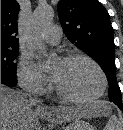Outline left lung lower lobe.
Segmentation results:
<instances>
[{"instance_id":"0a47b994","label":"left lung lower lobe","mask_w":123,"mask_h":130,"mask_svg":"<svg viewBox=\"0 0 123 130\" xmlns=\"http://www.w3.org/2000/svg\"><path fill=\"white\" fill-rule=\"evenodd\" d=\"M123 112V108H119Z\"/></svg>"}]
</instances>
